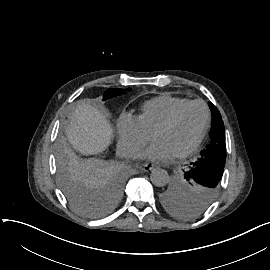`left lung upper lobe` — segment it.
<instances>
[{"instance_id":"left-lung-upper-lobe-1","label":"left lung upper lobe","mask_w":270,"mask_h":270,"mask_svg":"<svg viewBox=\"0 0 270 270\" xmlns=\"http://www.w3.org/2000/svg\"><path fill=\"white\" fill-rule=\"evenodd\" d=\"M212 112L211 144L183 178L163 192L164 207L180 217H194L202 213L215 199L221 185L226 160L225 129L221 114L209 102Z\"/></svg>"}]
</instances>
